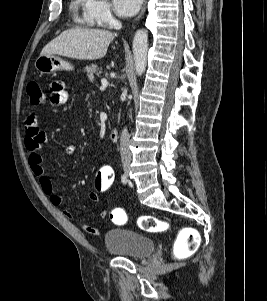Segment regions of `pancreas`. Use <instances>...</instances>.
I'll list each match as a JSON object with an SVG mask.
<instances>
[{
  "label": "pancreas",
  "mask_w": 267,
  "mask_h": 301,
  "mask_svg": "<svg viewBox=\"0 0 267 301\" xmlns=\"http://www.w3.org/2000/svg\"><path fill=\"white\" fill-rule=\"evenodd\" d=\"M84 71L90 82H93L101 74V69L96 64L87 66Z\"/></svg>",
  "instance_id": "cf45deb5"
}]
</instances>
